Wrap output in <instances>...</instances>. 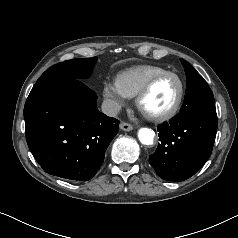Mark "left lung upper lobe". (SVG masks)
Segmentation results:
<instances>
[{"label":"left lung upper lobe","instance_id":"obj_1","mask_svg":"<svg viewBox=\"0 0 238 238\" xmlns=\"http://www.w3.org/2000/svg\"><path fill=\"white\" fill-rule=\"evenodd\" d=\"M187 77L184 105L179 115L194 114L216 110L214 96L203 77L185 60L181 59Z\"/></svg>","mask_w":238,"mask_h":238}]
</instances>
